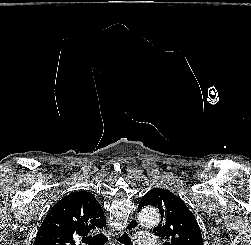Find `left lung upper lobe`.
I'll return each mask as SVG.
<instances>
[{"label": "left lung upper lobe", "mask_w": 251, "mask_h": 245, "mask_svg": "<svg viewBox=\"0 0 251 245\" xmlns=\"http://www.w3.org/2000/svg\"><path fill=\"white\" fill-rule=\"evenodd\" d=\"M152 205L160 210L161 222L154 229L162 245H203L200 227L186 204L172 192L154 188L148 191L138 208Z\"/></svg>", "instance_id": "5c2ea615"}]
</instances>
